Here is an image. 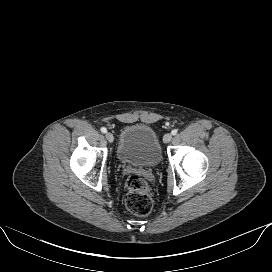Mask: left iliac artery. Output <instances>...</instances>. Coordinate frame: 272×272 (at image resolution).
I'll use <instances>...</instances> for the list:
<instances>
[{
	"instance_id": "obj_1",
	"label": "left iliac artery",
	"mask_w": 272,
	"mask_h": 272,
	"mask_svg": "<svg viewBox=\"0 0 272 272\" xmlns=\"http://www.w3.org/2000/svg\"><path fill=\"white\" fill-rule=\"evenodd\" d=\"M171 134H172V135H176V134H177V130H176V129H173V130L171 131Z\"/></svg>"
}]
</instances>
